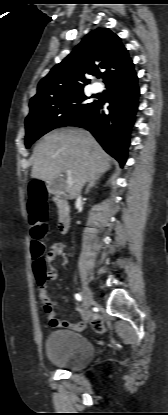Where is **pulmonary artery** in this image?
Instances as JSON below:
<instances>
[{
    "label": "pulmonary artery",
    "instance_id": "e3ab8cb5",
    "mask_svg": "<svg viewBox=\"0 0 168 415\" xmlns=\"http://www.w3.org/2000/svg\"><path fill=\"white\" fill-rule=\"evenodd\" d=\"M91 88L95 93H98L102 90V86L99 83H94Z\"/></svg>",
    "mask_w": 168,
    "mask_h": 415
}]
</instances>
